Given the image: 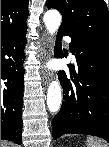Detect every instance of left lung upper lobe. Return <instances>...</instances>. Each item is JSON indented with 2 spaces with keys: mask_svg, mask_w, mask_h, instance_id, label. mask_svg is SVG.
Wrapping results in <instances>:
<instances>
[{
  "mask_svg": "<svg viewBox=\"0 0 109 147\" xmlns=\"http://www.w3.org/2000/svg\"><path fill=\"white\" fill-rule=\"evenodd\" d=\"M46 6L61 12L60 27L109 47V11L104 0H48Z\"/></svg>",
  "mask_w": 109,
  "mask_h": 147,
  "instance_id": "left-lung-upper-lobe-1",
  "label": "left lung upper lobe"
}]
</instances>
